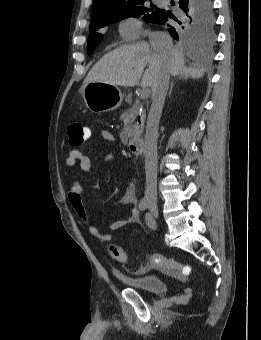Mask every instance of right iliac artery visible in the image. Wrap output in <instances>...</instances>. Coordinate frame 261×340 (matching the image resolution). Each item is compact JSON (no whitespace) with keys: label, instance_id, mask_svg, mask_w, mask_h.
<instances>
[{"label":"right iliac artery","instance_id":"1","mask_svg":"<svg viewBox=\"0 0 261 340\" xmlns=\"http://www.w3.org/2000/svg\"><path fill=\"white\" fill-rule=\"evenodd\" d=\"M148 202L146 198H142L139 202V209L144 211L147 208Z\"/></svg>","mask_w":261,"mask_h":340}]
</instances>
